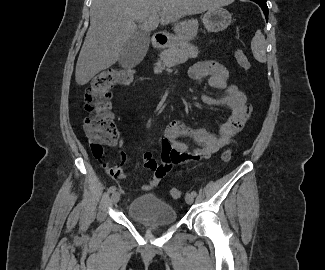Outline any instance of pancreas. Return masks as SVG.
Segmentation results:
<instances>
[{
  "label": "pancreas",
  "mask_w": 325,
  "mask_h": 270,
  "mask_svg": "<svg viewBox=\"0 0 325 270\" xmlns=\"http://www.w3.org/2000/svg\"><path fill=\"white\" fill-rule=\"evenodd\" d=\"M198 53V48L188 43L171 46L161 53L160 60L156 63L155 73H161L165 67H173L184 63L188 58H196Z\"/></svg>",
  "instance_id": "pancreas-1"
}]
</instances>
